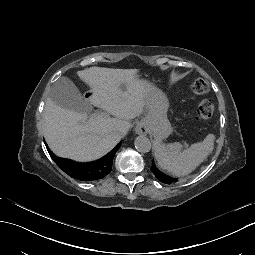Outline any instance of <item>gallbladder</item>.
Segmentation results:
<instances>
[{
	"mask_svg": "<svg viewBox=\"0 0 255 255\" xmlns=\"http://www.w3.org/2000/svg\"><path fill=\"white\" fill-rule=\"evenodd\" d=\"M49 98L54 104L78 113H87L91 108L89 102L82 97L75 84L64 76L53 83L49 91Z\"/></svg>",
	"mask_w": 255,
	"mask_h": 255,
	"instance_id": "obj_1",
	"label": "gallbladder"
}]
</instances>
